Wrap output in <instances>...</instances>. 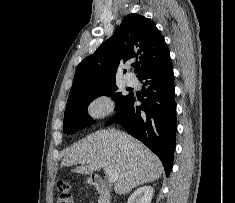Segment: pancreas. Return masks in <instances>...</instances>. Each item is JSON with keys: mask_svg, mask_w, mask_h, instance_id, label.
I'll return each instance as SVG.
<instances>
[{"mask_svg": "<svg viewBox=\"0 0 235 203\" xmlns=\"http://www.w3.org/2000/svg\"><path fill=\"white\" fill-rule=\"evenodd\" d=\"M98 203H105V200H104V197L103 196H100L99 200H98Z\"/></svg>", "mask_w": 235, "mask_h": 203, "instance_id": "obj_1", "label": "pancreas"}]
</instances>
